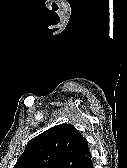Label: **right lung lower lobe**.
<instances>
[{
	"instance_id": "right-lung-lower-lobe-1",
	"label": "right lung lower lobe",
	"mask_w": 127,
	"mask_h": 168,
	"mask_svg": "<svg viewBox=\"0 0 127 168\" xmlns=\"http://www.w3.org/2000/svg\"><path fill=\"white\" fill-rule=\"evenodd\" d=\"M76 168H93V164H92L91 158L88 159V160H85L84 162H82L81 164L76 166Z\"/></svg>"
}]
</instances>
